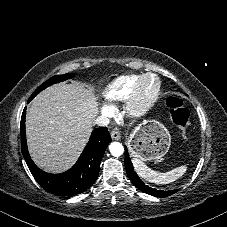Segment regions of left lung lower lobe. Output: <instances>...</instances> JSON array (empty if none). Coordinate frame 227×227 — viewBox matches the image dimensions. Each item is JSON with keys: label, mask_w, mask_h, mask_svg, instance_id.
Returning <instances> with one entry per match:
<instances>
[{"label": "left lung lower lobe", "mask_w": 227, "mask_h": 227, "mask_svg": "<svg viewBox=\"0 0 227 227\" xmlns=\"http://www.w3.org/2000/svg\"><path fill=\"white\" fill-rule=\"evenodd\" d=\"M125 169H126L127 175L129 177V179L131 180V182L139 190H141L144 193H147V194H150L153 196H157V197H165V196L172 195L178 191L177 189L169 190V191L156 190V189L150 188L149 186L145 185L144 182L138 177V175L134 171V168H133L132 162L129 158V154H128L127 150L125 152Z\"/></svg>", "instance_id": "obj_1"}]
</instances>
